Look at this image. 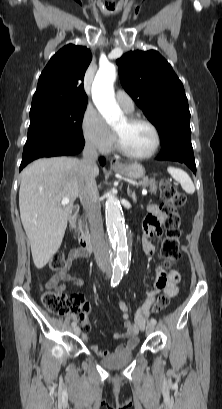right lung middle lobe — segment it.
Returning a JSON list of instances; mask_svg holds the SVG:
<instances>
[{"mask_svg":"<svg viewBox=\"0 0 222 409\" xmlns=\"http://www.w3.org/2000/svg\"><path fill=\"white\" fill-rule=\"evenodd\" d=\"M87 103L40 106L30 110L22 159L68 153L84 145L81 124Z\"/></svg>","mask_w":222,"mask_h":409,"instance_id":"1","label":"right lung middle lobe"}]
</instances>
